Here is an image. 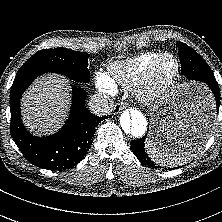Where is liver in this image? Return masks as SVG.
I'll list each match as a JSON object with an SVG mask.
<instances>
[{"label": "liver", "instance_id": "obj_1", "mask_svg": "<svg viewBox=\"0 0 222 222\" xmlns=\"http://www.w3.org/2000/svg\"><path fill=\"white\" fill-rule=\"evenodd\" d=\"M69 80L51 74L37 79L22 98L23 120L37 135L50 134L64 121L70 102Z\"/></svg>", "mask_w": 222, "mask_h": 222}]
</instances>
